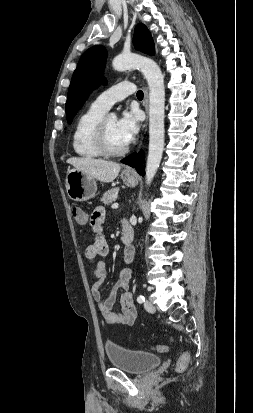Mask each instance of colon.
Instances as JSON below:
<instances>
[{"mask_svg":"<svg viewBox=\"0 0 253 413\" xmlns=\"http://www.w3.org/2000/svg\"><path fill=\"white\" fill-rule=\"evenodd\" d=\"M71 215L74 219V221L79 225V226H85L87 223V215L86 213L78 206H72L70 209ZM153 349H155L158 352H167L168 351V347L165 345H156L152 347ZM190 360V355L187 352H184L183 354H181V356L178 359L177 365H176V370L181 372L183 371Z\"/></svg>","mask_w":253,"mask_h":413,"instance_id":"colon-1","label":"colon"}]
</instances>
